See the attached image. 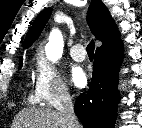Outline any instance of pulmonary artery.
<instances>
[{
  "instance_id": "1",
  "label": "pulmonary artery",
  "mask_w": 142,
  "mask_h": 128,
  "mask_svg": "<svg viewBox=\"0 0 142 128\" xmlns=\"http://www.w3.org/2000/svg\"><path fill=\"white\" fill-rule=\"evenodd\" d=\"M70 55L75 61H84L86 58L85 48L81 44H76L70 49Z\"/></svg>"
}]
</instances>
